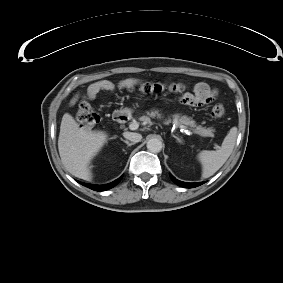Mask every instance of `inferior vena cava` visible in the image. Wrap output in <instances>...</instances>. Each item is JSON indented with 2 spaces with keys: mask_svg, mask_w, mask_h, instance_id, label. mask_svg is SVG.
I'll return each mask as SVG.
<instances>
[{
  "mask_svg": "<svg viewBox=\"0 0 283 283\" xmlns=\"http://www.w3.org/2000/svg\"><path fill=\"white\" fill-rule=\"evenodd\" d=\"M124 136L133 143H137L142 139L141 134L135 132H125Z\"/></svg>",
  "mask_w": 283,
  "mask_h": 283,
  "instance_id": "602c4592",
  "label": "inferior vena cava"
}]
</instances>
